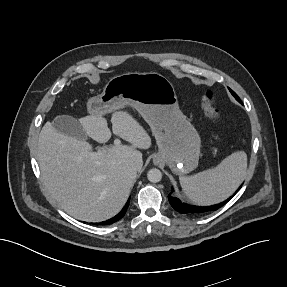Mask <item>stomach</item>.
<instances>
[{
	"label": "stomach",
	"instance_id": "obj_1",
	"mask_svg": "<svg viewBox=\"0 0 287 287\" xmlns=\"http://www.w3.org/2000/svg\"><path fill=\"white\" fill-rule=\"evenodd\" d=\"M129 105L149 124L159 152L155 164L166 163L184 175L198 166L201 140L179 109L172 83L156 72L126 73L113 77L103 92L88 102L91 115L105 114Z\"/></svg>",
	"mask_w": 287,
	"mask_h": 287
}]
</instances>
